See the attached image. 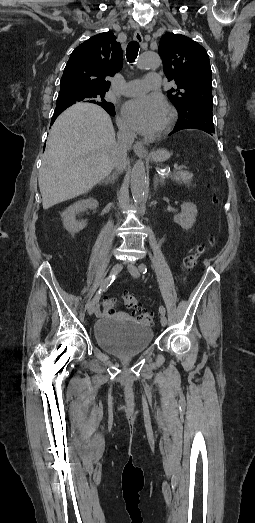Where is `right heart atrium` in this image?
<instances>
[{"mask_svg": "<svg viewBox=\"0 0 255 523\" xmlns=\"http://www.w3.org/2000/svg\"><path fill=\"white\" fill-rule=\"evenodd\" d=\"M117 123H118L120 131L125 136H132L133 135V131H132L131 127L129 126V124L127 123V121L123 117L118 116Z\"/></svg>", "mask_w": 255, "mask_h": 523, "instance_id": "obj_1", "label": "right heart atrium"}]
</instances>
